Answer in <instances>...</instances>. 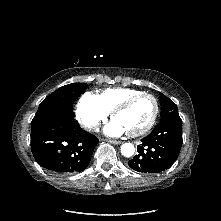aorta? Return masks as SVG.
<instances>
[{"instance_id": "1", "label": "aorta", "mask_w": 221, "mask_h": 221, "mask_svg": "<svg viewBox=\"0 0 221 221\" xmlns=\"http://www.w3.org/2000/svg\"><path fill=\"white\" fill-rule=\"evenodd\" d=\"M135 152V147L132 143H124L121 146V154L125 157L133 156Z\"/></svg>"}]
</instances>
